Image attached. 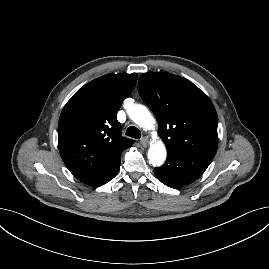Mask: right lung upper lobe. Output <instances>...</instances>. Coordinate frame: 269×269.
<instances>
[{
	"mask_svg": "<svg viewBox=\"0 0 269 269\" xmlns=\"http://www.w3.org/2000/svg\"><path fill=\"white\" fill-rule=\"evenodd\" d=\"M137 74H107L80 88L64 106L58 146L69 171L90 186L106 183L133 140L121 136L117 112L133 91Z\"/></svg>",
	"mask_w": 269,
	"mask_h": 269,
	"instance_id": "1",
	"label": "right lung upper lobe"
}]
</instances>
